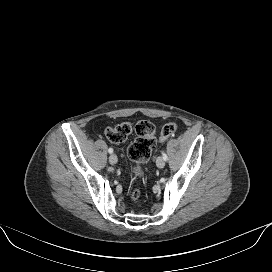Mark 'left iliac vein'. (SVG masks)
Instances as JSON below:
<instances>
[{
	"label": "left iliac vein",
	"mask_w": 272,
	"mask_h": 272,
	"mask_svg": "<svg viewBox=\"0 0 272 272\" xmlns=\"http://www.w3.org/2000/svg\"><path fill=\"white\" fill-rule=\"evenodd\" d=\"M156 165L158 168H163L165 166V160L163 157H158L156 160Z\"/></svg>",
	"instance_id": "1"
}]
</instances>
